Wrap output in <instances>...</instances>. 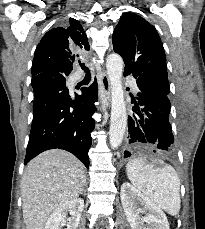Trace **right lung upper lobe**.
<instances>
[{
	"mask_svg": "<svg viewBox=\"0 0 205 229\" xmlns=\"http://www.w3.org/2000/svg\"><path fill=\"white\" fill-rule=\"evenodd\" d=\"M85 50H89V44L83 28L77 20L70 18L69 26L51 29L37 45L32 77L48 70L68 75L78 54Z\"/></svg>",
	"mask_w": 205,
	"mask_h": 229,
	"instance_id": "right-lung-upper-lobe-1",
	"label": "right lung upper lobe"
}]
</instances>
